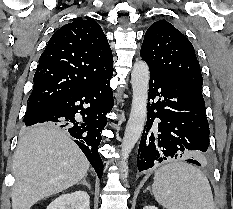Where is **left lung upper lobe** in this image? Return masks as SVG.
Returning <instances> with one entry per match:
<instances>
[{"mask_svg": "<svg viewBox=\"0 0 233 209\" xmlns=\"http://www.w3.org/2000/svg\"><path fill=\"white\" fill-rule=\"evenodd\" d=\"M140 56L150 69L185 81L202 94L203 78L194 48L171 23L159 20L149 27Z\"/></svg>", "mask_w": 233, "mask_h": 209, "instance_id": "5c2ea615", "label": "left lung upper lobe"}]
</instances>
